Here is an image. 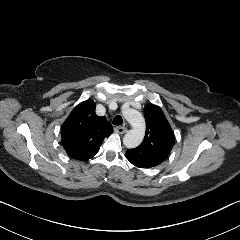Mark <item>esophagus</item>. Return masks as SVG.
Here are the masks:
<instances>
[{"label": "esophagus", "mask_w": 240, "mask_h": 240, "mask_svg": "<svg viewBox=\"0 0 240 240\" xmlns=\"http://www.w3.org/2000/svg\"><path fill=\"white\" fill-rule=\"evenodd\" d=\"M114 131H115L116 133H119V134H124V133L127 132V128H126V127H123V126H116V127L114 128Z\"/></svg>", "instance_id": "obj_1"}]
</instances>
